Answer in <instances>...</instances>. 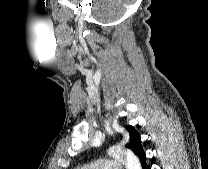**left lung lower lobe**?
<instances>
[{
	"label": "left lung lower lobe",
	"instance_id": "0a47b994",
	"mask_svg": "<svg viewBox=\"0 0 208 169\" xmlns=\"http://www.w3.org/2000/svg\"><path fill=\"white\" fill-rule=\"evenodd\" d=\"M138 158L140 159L142 169H151L150 166L146 163V154L144 151L138 154Z\"/></svg>",
	"mask_w": 208,
	"mask_h": 169
}]
</instances>
